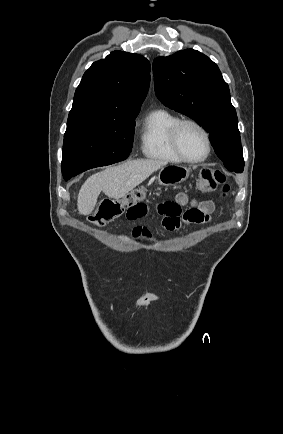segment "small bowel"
<instances>
[{
    "label": "small bowel",
    "instance_id": "c3829d8e",
    "mask_svg": "<svg viewBox=\"0 0 283 434\" xmlns=\"http://www.w3.org/2000/svg\"><path fill=\"white\" fill-rule=\"evenodd\" d=\"M187 207L185 211L183 208ZM163 217V226L170 231L179 229L183 224H195L207 222L213 211V203L208 200H192L186 193H179L173 200H165L158 203L155 208ZM151 208L145 202L140 201L127 209V219L136 221L145 217ZM133 238H149L151 233L145 227H136L132 232Z\"/></svg>",
    "mask_w": 283,
    "mask_h": 434
}]
</instances>
